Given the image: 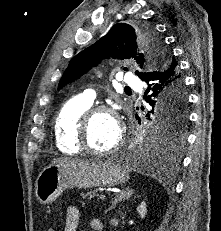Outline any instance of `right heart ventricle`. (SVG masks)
Here are the masks:
<instances>
[{
  "label": "right heart ventricle",
  "mask_w": 221,
  "mask_h": 231,
  "mask_svg": "<svg viewBox=\"0 0 221 231\" xmlns=\"http://www.w3.org/2000/svg\"><path fill=\"white\" fill-rule=\"evenodd\" d=\"M90 106L80 97H75L61 107L54 122L56 146L60 152L76 154L81 151L77 142L78 122Z\"/></svg>",
  "instance_id": "1"
}]
</instances>
